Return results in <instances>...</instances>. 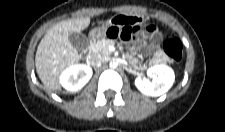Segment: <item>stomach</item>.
I'll return each instance as SVG.
<instances>
[{
  "mask_svg": "<svg viewBox=\"0 0 225 132\" xmlns=\"http://www.w3.org/2000/svg\"><path fill=\"white\" fill-rule=\"evenodd\" d=\"M111 21L107 25H103L101 27L94 28L90 31V38L92 41L100 40L106 37L107 30L111 25Z\"/></svg>",
  "mask_w": 225,
  "mask_h": 132,
  "instance_id": "obj_1",
  "label": "stomach"
}]
</instances>
